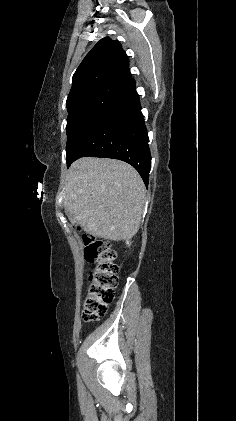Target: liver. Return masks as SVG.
<instances>
[{
	"mask_svg": "<svg viewBox=\"0 0 236 421\" xmlns=\"http://www.w3.org/2000/svg\"><path fill=\"white\" fill-rule=\"evenodd\" d=\"M66 180L64 206L73 225L109 241L138 233L146 188L131 164L84 156L72 162Z\"/></svg>",
	"mask_w": 236,
	"mask_h": 421,
	"instance_id": "liver-1",
	"label": "liver"
}]
</instances>
